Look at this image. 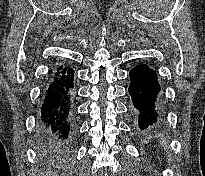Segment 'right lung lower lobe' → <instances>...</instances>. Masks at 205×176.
<instances>
[{"label":"right lung lower lobe","mask_w":205,"mask_h":176,"mask_svg":"<svg viewBox=\"0 0 205 176\" xmlns=\"http://www.w3.org/2000/svg\"><path fill=\"white\" fill-rule=\"evenodd\" d=\"M74 71L59 65L52 73L41 107L38 147L50 153L68 154L74 140Z\"/></svg>","instance_id":"right-lung-lower-lobe-1"}]
</instances>
